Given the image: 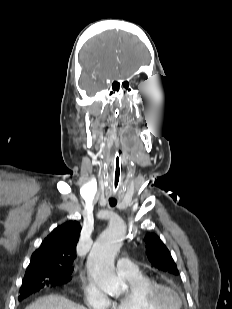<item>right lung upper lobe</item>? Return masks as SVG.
I'll return each instance as SVG.
<instances>
[{"label":"right lung upper lobe","instance_id":"cb5924a9","mask_svg":"<svg viewBox=\"0 0 232 309\" xmlns=\"http://www.w3.org/2000/svg\"><path fill=\"white\" fill-rule=\"evenodd\" d=\"M80 232L77 221H68L55 228L32 254L25 275L47 271L70 276Z\"/></svg>","mask_w":232,"mask_h":309}]
</instances>
